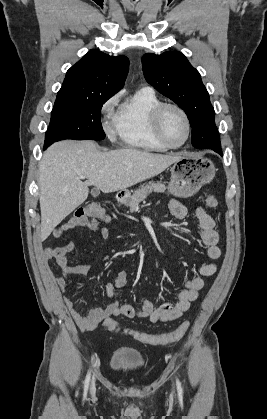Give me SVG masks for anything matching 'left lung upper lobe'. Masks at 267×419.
I'll use <instances>...</instances> for the list:
<instances>
[{"mask_svg":"<svg viewBox=\"0 0 267 419\" xmlns=\"http://www.w3.org/2000/svg\"><path fill=\"white\" fill-rule=\"evenodd\" d=\"M145 79L157 91L185 111L192 127V145L204 149L209 143L221 147L215 112L199 72L178 51L142 57Z\"/></svg>","mask_w":267,"mask_h":419,"instance_id":"1","label":"left lung upper lobe"}]
</instances>
